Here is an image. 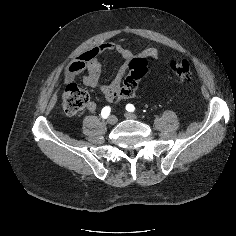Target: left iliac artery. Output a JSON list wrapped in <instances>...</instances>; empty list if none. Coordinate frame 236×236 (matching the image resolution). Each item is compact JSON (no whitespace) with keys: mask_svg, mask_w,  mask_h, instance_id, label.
Listing matches in <instances>:
<instances>
[{"mask_svg":"<svg viewBox=\"0 0 236 236\" xmlns=\"http://www.w3.org/2000/svg\"><path fill=\"white\" fill-rule=\"evenodd\" d=\"M126 110L129 112H134L135 111V107L132 104H127L126 105Z\"/></svg>","mask_w":236,"mask_h":236,"instance_id":"1","label":"left iliac artery"}]
</instances>
